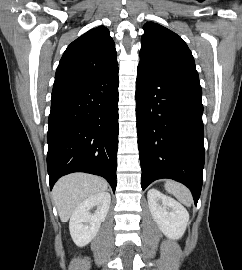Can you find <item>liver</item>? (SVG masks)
I'll return each mask as SVG.
<instances>
[{"instance_id":"liver-1","label":"liver","mask_w":242,"mask_h":270,"mask_svg":"<svg viewBox=\"0 0 242 270\" xmlns=\"http://www.w3.org/2000/svg\"><path fill=\"white\" fill-rule=\"evenodd\" d=\"M107 186L103 178L85 173L70 174L59 179L52 194L61 221L67 222L81 202L104 192Z\"/></svg>"}]
</instances>
